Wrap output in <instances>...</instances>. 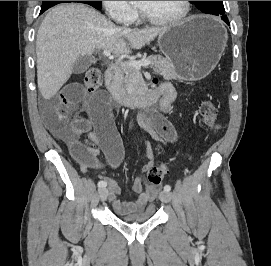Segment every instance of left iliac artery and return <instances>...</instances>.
Here are the masks:
<instances>
[{"label":"left iliac artery","mask_w":271,"mask_h":266,"mask_svg":"<svg viewBox=\"0 0 271 266\" xmlns=\"http://www.w3.org/2000/svg\"><path fill=\"white\" fill-rule=\"evenodd\" d=\"M171 190V186L170 185H165L164 186V191L169 192Z\"/></svg>","instance_id":"1"}]
</instances>
